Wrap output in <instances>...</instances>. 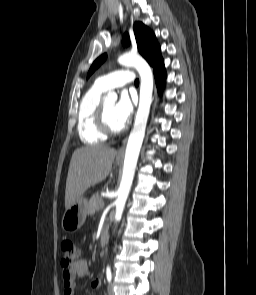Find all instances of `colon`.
I'll return each mask as SVG.
<instances>
[{
    "mask_svg": "<svg viewBox=\"0 0 256 295\" xmlns=\"http://www.w3.org/2000/svg\"><path fill=\"white\" fill-rule=\"evenodd\" d=\"M79 258V249L71 240L61 243V265L63 268H70Z\"/></svg>",
    "mask_w": 256,
    "mask_h": 295,
    "instance_id": "obj_1",
    "label": "colon"
}]
</instances>
